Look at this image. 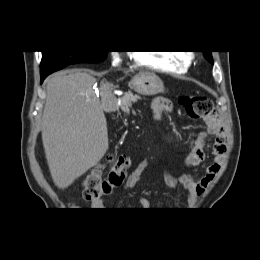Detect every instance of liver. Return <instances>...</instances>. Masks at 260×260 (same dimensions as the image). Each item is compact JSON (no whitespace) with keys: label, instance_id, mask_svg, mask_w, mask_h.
Listing matches in <instances>:
<instances>
[{"label":"liver","instance_id":"obj_1","mask_svg":"<svg viewBox=\"0 0 260 260\" xmlns=\"http://www.w3.org/2000/svg\"><path fill=\"white\" fill-rule=\"evenodd\" d=\"M81 71L57 72L46 79L42 142L54 184L59 189L95 166L108 150L103 103L112 96L111 84H100Z\"/></svg>","mask_w":260,"mask_h":260}]
</instances>
